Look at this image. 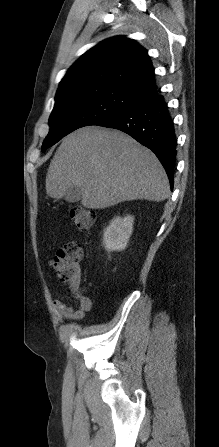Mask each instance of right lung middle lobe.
<instances>
[{"mask_svg": "<svg viewBox=\"0 0 219 447\" xmlns=\"http://www.w3.org/2000/svg\"><path fill=\"white\" fill-rule=\"evenodd\" d=\"M140 100L111 86L77 85L57 91L42 152L72 131L117 115Z\"/></svg>", "mask_w": 219, "mask_h": 447, "instance_id": "obj_1", "label": "right lung middle lobe"}]
</instances>
